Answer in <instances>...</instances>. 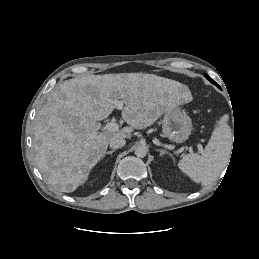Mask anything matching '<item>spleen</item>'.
<instances>
[{"label": "spleen", "mask_w": 259, "mask_h": 259, "mask_svg": "<svg viewBox=\"0 0 259 259\" xmlns=\"http://www.w3.org/2000/svg\"><path fill=\"white\" fill-rule=\"evenodd\" d=\"M228 119L227 114L220 118L208 144L200 154H187L179 161V169L194 182L209 185L227 166L232 150V132Z\"/></svg>", "instance_id": "obj_1"}]
</instances>
